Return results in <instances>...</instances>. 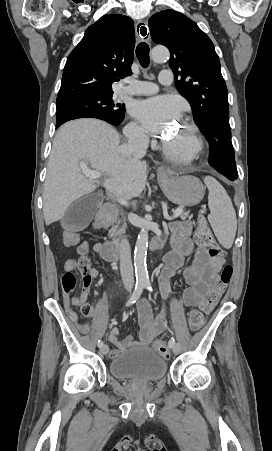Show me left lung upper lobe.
Masks as SVG:
<instances>
[{
    "instance_id": "obj_1",
    "label": "left lung upper lobe",
    "mask_w": 272,
    "mask_h": 451,
    "mask_svg": "<svg viewBox=\"0 0 272 451\" xmlns=\"http://www.w3.org/2000/svg\"><path fill=\"white\" fill-rule=\"evenodd\" d=\"M149 28L152 40L169 49L176 87L189 101L195 123L210 140V166L224 175L238 177L228 91L212 41L195 22L171 9L154 14Z\"/></svg>"
}]
</instances>
